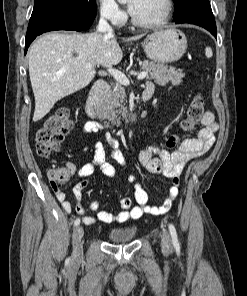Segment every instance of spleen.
<instances>
[{"label":"spleen","instance_id":"3e777b00","mask_svg":"<svg viewBox=\"0 0 247 296\" xmlns=\"http://www.w3.org/2000/svg\"><path fill=\"white\" fill-rule=\"evenodd\" d=\"M205 55L208 58L212 57L213 52H212V49L210 47H206V49H205Z\"/></svg>","mask_w":247,"mask_h":296}]
</instances>
